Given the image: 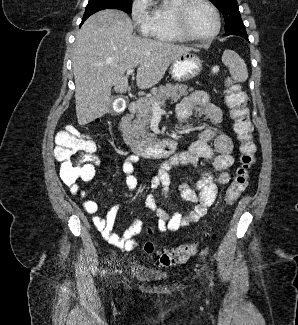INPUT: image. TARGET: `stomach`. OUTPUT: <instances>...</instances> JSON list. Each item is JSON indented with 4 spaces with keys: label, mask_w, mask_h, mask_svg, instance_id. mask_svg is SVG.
I'll return each instance as SVG.
<instances>
[{
    "label": "stomach",
    "mask_w": 298,
    "mask_h": 325,
    "mask_svg": "<svg viewBox=\"0 0 298 325\" xmlns=\"http://www.w3.org/2000/svg\"><path fill=\"white\" fill-rule=\"evenodd\" d=\"M198 50H190L186 54H181L171 62L169 74L173 80L177 82H185L190 78H195L200 74L203 68V60H201Z\"/></svg>",
    "instance_id": "0dacf381"
}]
</instances>
